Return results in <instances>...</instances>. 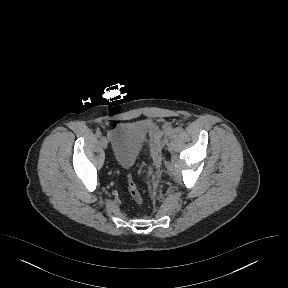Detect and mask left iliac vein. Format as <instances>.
Wrapping results in <instances>:
<instances>
[{
	"instance_id": "1",
	"label": "left iliac vein",
	"mask_w": 288,
	"mask_h": 288,
	"mask_svg": "<svg viewBox=\"0 0 288 288\" xmlns=\"http://www.w3.org/2000/svg\"><path fill=\"white\" fill-rule=\"evenodd\" d=\"M170 136H171V134H168V135L166 136V138H165V142L167 141V139L170 138Z\"/></svg>"
}]
</instances>
